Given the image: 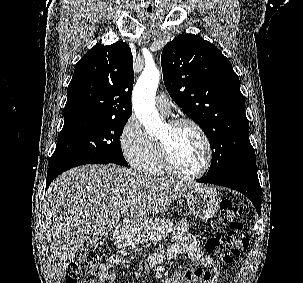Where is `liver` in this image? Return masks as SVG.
I'll return each instance as SVG.
<instances>
[{
	"instance_id": "obj_1",
	"label": "liver",
	"mask_w": 303,
	"mask_h": 283,
	"mask_svg": "<svg viewBox=\"0 0 303 283\" xmlns=\"http://www.w3.org/2000/svg\"><path fill=\"white\" fill-rule=\"evenodd\" d=\"M194 182L139 174L116 165H84L58 176L46 192L43 212L47 241L60 278L89 234H107L120 212L135 218L166 211L193 188Z\"/></svg>"
}]
</instances>
